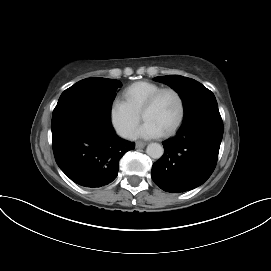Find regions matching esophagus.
<instances>
[{
    "label": "esophagus",
    "mask_w": 271,
    "mask_h": 271,
    "mask_svg": "<svg viewBox=\"0 0 271 271\" xmlns=\"http://www.w3.org/2000/svg\"><path fill=\"white\" fill-rule=\"evenodd\" d=\"M145 146H146V143L142 141H137L135 144L136 148H144Z\"/></svg>",
    "instance_id": "esophagus-1"
}]
</instances>
